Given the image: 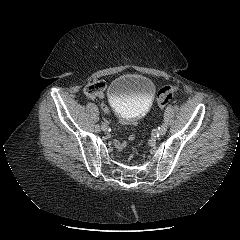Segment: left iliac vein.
Here are the masks:
<instances>
[{"mask_svg": "<svg viewBox=\"0 0 240 240\" xmlns=\"http://www.w3.org/2000/svg\"><path fill=\"white\" fill-rule=\"evenodd\" d=\"M167 130H168V122H164L159 130V134L163 136L166 134Z\"/></svg>", "mask_w": 240, "mask_h": 240, "instance_id": "4c4485c4", "label": "left iliac vein"}]
</instances>
